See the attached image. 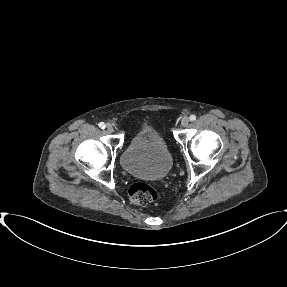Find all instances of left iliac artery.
<instances>
[{"label": "left iliac artery", "mask_w": 287, "mask_h": 287, "mask_svg": "<svg viewBox=\"0 0 287 287\" xmlns=\"http://www.w3.org/2000/svg\"><path fill=\"white\" fill-rule=\"evenodd\" d=\"M196 120V115H191L190 116V121H195Z\"/></svg>", "instance_id": "left-iliac-artery-1"}]
</instances>
